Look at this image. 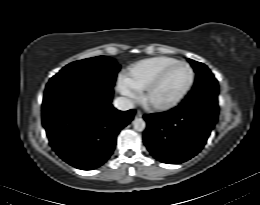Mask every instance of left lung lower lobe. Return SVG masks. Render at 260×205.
Masks as SVG:
<instances>
[{"mask_svg":"<svg viewBox=\"0 0 260 205\" xmlns=\"http://www.w3.org/2000/svg\"><path fill=\"white\" fill-rule=\"evenodd\" d=\"M144 143L159 161L179 164L195 156L205 145L217 118L218 108L207 103L183 102L163 113L144 115Z\"/></svg>","mask_w":260,"mask_h":205,"instance_id":"obj_1","label":"left lung lower lobe"}]
</instances>
